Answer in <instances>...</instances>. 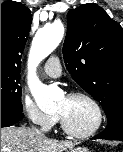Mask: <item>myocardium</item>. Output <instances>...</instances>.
<instances>
[{
    "label": "myocardium",
    "mask_w": 123,
    "mask_h": 152,
    "mask_svg": "<svg viewBox=\"0 0 123 152\" xmlns=\"http://www.w3.org/2000/svg\"><path fill=\"white\" fill-rule=\"evenodd\" d=\"M67 98L69 99L82 98L89 101L96 111L97 120H96L95 125L91 129H89L88 131L79 132V131H75L71 129L69 125L67 124V122L65 121L64 117L58 113L59 121H60L63 131L66 134L76 137V138H87L94 135L101 128L104 122V112L100 103L92 95L86 92H81V91L72 92L67 95Z\"/></svg>",
    "instance_id": "obj_1"
}]
</instances>
